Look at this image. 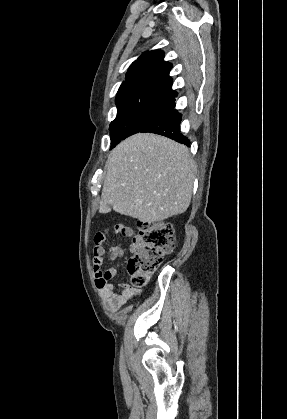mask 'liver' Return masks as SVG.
I'll return each instance as SVG.
<instances>
[{"mask_svg":"<svg viewBox=\"0 0 287 419\" xmlns=\"http://www.w3.org/2000/svg\"><path fill=\"white\" fill-rule=\"evenodd\" d=\"M100 213L154 223L184 213L190 205L196 166L189 149L169 138L138 133L109 155Z\"/></svg>","mask_w":287,"mask_h":419,"instance_id":"obj_1","label":"liver"}]
</instances>
